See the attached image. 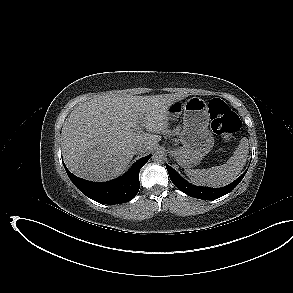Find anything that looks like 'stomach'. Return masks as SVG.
I'll return each mask as SVG.
<instances>
[{
	"mask_svg": "<svg viewBox=\"0 0 293 293\" xmlns=\"http://www.w3.org/2000/svg\"><path fill=\"white\" fill-rule=\"evenodd\" d=\"M183 111V129L180 133L182 146L172 151L183 167L198 164L214 146V138L208 128L210 115L206 102L192 97L184 104L179 101L168 108V118H176Z\"/></svg>",
	"mask_w": 293,
	"mask_h": 293,
	"instance_id": "0dacf381",
	"label": "stomach"
}]
</instances>
